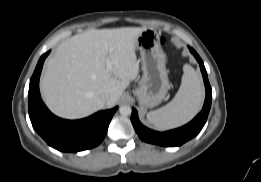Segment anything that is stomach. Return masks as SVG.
<instances>
[{"instance_id": "obj_1", "label": "stomach", "mask_w": 261, "mask_h": 182, "mask_svg": "<svg viewBox=\"0 0 261 182\" xmlns=\"http://www.w3.org/2000/svg\"><path fill=\"white\" fill-rule=\"evenodd\" d=\"M135 49L141 55L143 77L134 93L140 106H157L169 89L166 58L158 33L152 28L144 30L137 38Z\"/></svg>"}]
</instances>
